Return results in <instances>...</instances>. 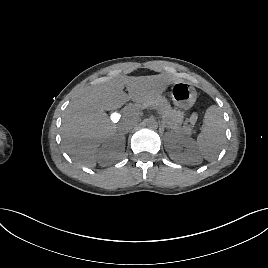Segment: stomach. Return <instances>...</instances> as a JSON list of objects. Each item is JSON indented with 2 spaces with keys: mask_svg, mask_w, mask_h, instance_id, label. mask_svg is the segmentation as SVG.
<instances>
[{
  "mask_svg": "<svg viewBox=\"0 0 268 268\" xmlns=\"http://www.w3.org/2000/svg\"><path fill=\"white\" fill-rule=\"evenodd\" d=\"M171 97L177 108L187 111L194 105L197 93L189 83L177 81L172 84Z\"/></svg>",
  "mask_w": 268,
  "mask_h": 268,
  "instance_id": "stomach-1",
  "label": "stomach"
}]
</instances>
